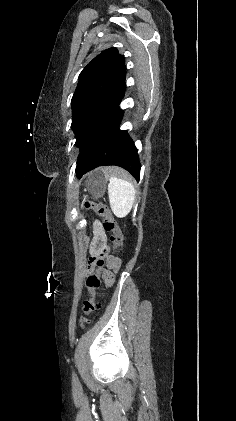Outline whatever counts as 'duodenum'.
<instances>
[{
  "mask_svg": "<svg viewBox=\"0 0 236 421\" xmlns=\"http://www.w3.org/2000/svg\"><path fill=\"white\" fill-rule=\"evenodd\" d=\"M116 266H117V264H116V263H114V262H112V263H111V267H113V268H114V267H116Z\"/></svg>",
  "mask_w": 236,
  "mask_h": 421,
  "instance_id": "obj_1",
  "label": "duodenum"
}]
</instances>
